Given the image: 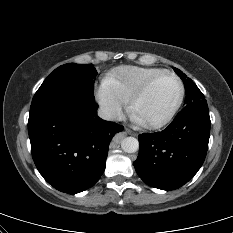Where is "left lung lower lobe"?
Returning a JSON list of instances; mask_svg holds the SVG:
<instances>
[{
	"label": "left lung lower lobe",
	"mask_w": 233,
	"mask_h": 233,
	"mask_svg": "<svg viewBox=\"0 0 233 233\" xmlns=\"http://www.w3.org/2000/svg\"><path fill=\"white\" fill-rule=\"evenodd\" d=\"M210 116L205 99L196 100L177 114L162 132L139 135L138 176L149 186L175 190L186 184L206 157Z\"/></svg>",
	"instance_id": "left-lung-lower-lobe-1"
}]
</instances>
